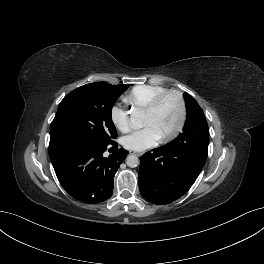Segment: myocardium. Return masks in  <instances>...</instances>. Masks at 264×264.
<instances>
[{
    "instance_id": "myocardium-1",
    "label": "myocardium",
    "mask_w": 264,
    "mask_h": 264,
    "mask_svg": "<svg viewBox=\"0 0 264 264\" xmlns=\"http://www.w3.org/2000/svg\"><path fill=\"white\" fill-rule=\"evenodd\" d=\"M169 96H174L176 98L179 105L180 116L176 127L168 134L162 136V141H170L174 139L184 128L187 117V109L183 95L177 90H166L157 95L145 108L146 112L152 113L156 111L159 106L163 103V101Z\"/></svg>"
}]
</instances>
